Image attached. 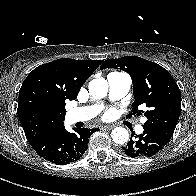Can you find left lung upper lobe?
<instances>
[{
    "instance_id": "5c2ea615",
    "label": "left lung upper lobe",
    "mask_w": 196,
    "mask_h": 196,
    "mask_svg": "<svg viewBox=\"0 0 196 196\" xmlns=\"http://www.w3.org/2000/svg\"><path fill=\"white\" fill-rule=\"evenodd\" d=\"M117 68L130 74L133 82V113L147 117L143 127L153 129L170 141L181 112V93L170 73L162 66L136 56L104 61L100 69ZM144 104L146 111L138 109Z\"/></svg>"
}]
</instances>
